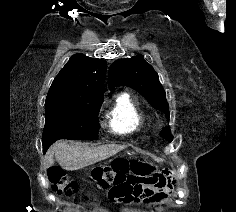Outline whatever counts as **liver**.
<instances>
[{"label":"liver","mask_w":236,"mask_h":212,"mask_svg":"<svg viewBox=\"0 0 236 212\" xmlns=\"http://www.w3.org/2000/svg\"><path fill=\"white\" fill-rule=\"evenodd\" d=\"M125 147L116 144L90 147L80 142L67 144L65 141H58L48 150L45 163L47 167H51L54 164L55 154V158L61 167L65 170L74 171L105 160Z\"/></svg>","instance_id":"1"}]
</instances>
